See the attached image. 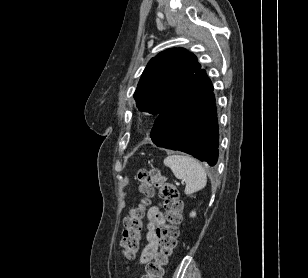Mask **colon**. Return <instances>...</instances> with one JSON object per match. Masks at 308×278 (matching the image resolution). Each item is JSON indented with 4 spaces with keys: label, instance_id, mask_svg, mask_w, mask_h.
Here are the masks:
<instances>
[{
    "label": "colon",
    "instance_id": "obj_1",
    "mask_svg": "<svg viewBox=\"0 0 308 278\" xmlns=\"http://www.w3.org/2000/svg\"><path fill=\"white\" fill-rule=\"evenodd\" d=\"M138 181L142 198L140 203L130 210L124 220L121 240L122 253L127 260H132L137 254L140 247L145 209L154 194L155 188H158L164 203L166 223L156 229L158 249L145 265L142 278H162L164 268L177 245L179 224L182 218V202L179 199L177 188L168 182L158 169L139 170Z\"/></svg>",
    "mask_w": 308,
    "mask_h": 278
}]
</instances>
